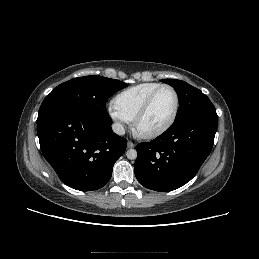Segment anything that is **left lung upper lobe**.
<instances>
[{"instance_id":"1","label":"left lung upper lobe","mask_w":259,"mask_h":259,"mask_svg":"<svg viewBox=\"0 0 259 259\" xmlns=\"http://www.w3.org/2000/svg\"><path fill=\"white\" fill-rule=\"evenodd\" d=\"M161 81L174 87L178 93L180 105L175 120L193 114L217 116L214 105L199 89L182 80L162 79Z\"/></svg>"}]
</instances>
